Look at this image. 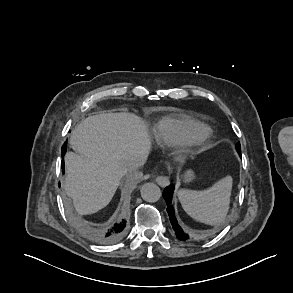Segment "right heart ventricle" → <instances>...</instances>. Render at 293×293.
I'll list each match as a JSON object with an SVG mask.
<instances>
[{"label":"right heart ventricle","instance_id":"e07e8e85","mask_svg":"<svg viewBox=\"0 0 293 293\" xmlns=\"http://www.w3.org/2000/svg\"><path fill=\"white\" fill-rule=\"evenodd\" d=\"M199 121L182 114H172L155 121L151 133L160 147H170L184 142Z\"/></svg>","mask_w":293,"mask_h":293}]
</instances>
